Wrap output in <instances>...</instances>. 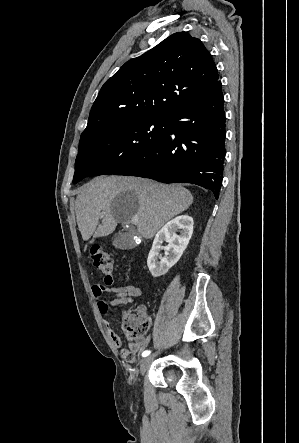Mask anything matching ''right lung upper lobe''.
<instances>
[{"instance_id":"right-lung-upper-lobe-1","label":"right lung upper lobe","mask_w":299,"mask_h":443,"mask_svg":"<svg viewBox=\"0 0 299 443\" xmlns=\"http://www.w3.org/2000/svg\"><path fill=\"white\" fill-rule=\"evenodd\" d=\"M219 80L202 42L175 33L129 60L102 86L81 138L136 118L168 116L208 91Z\"/></svg>"}]
</instances>
